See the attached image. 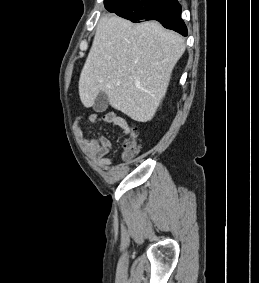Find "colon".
Returning a JSON list of instances; mask_svg holds the SVG:
<instances>
[{
    "label": "colon",
    "instance_id": "1",
    "mask_svg": "<svg viewBox=\"0 0 259 283\" xmlns=\"http://www.w3.org/2000/svg\"><path fill=\"white\" fill-rule=\"evenodd\" d=\"M138 149L137 130L131 127V132L123 141L122 159L125 161L134 159L138 153Z\"/></svg>",
    "mask_w": 259,
    "mask_h": 283
}]
</instances>
